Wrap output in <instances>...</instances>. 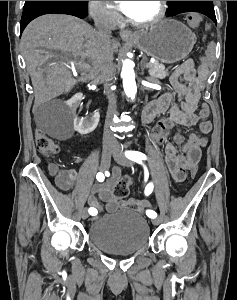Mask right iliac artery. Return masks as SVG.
Listing matches in <instances>:
<instances>
[{
    "instance_id": "1",
    "label": "right iliac artery",
    "mask_w": 237,
    "mask_h": 300,
    "mask_svg": "<svg viewBox=\"0 0 237 300\" xmlns=\"http://www.w3.org/2000/svg\"><path fill=\"white\" fill-rule=\"evenodd\" d=\"M96 179L99 181V182H103L105 177H104V174L102 172H99L97 173L96 175ZM88 212L90 214H93V215H96L97 214V210L93 207L89 208Z\"/></svg>"
}]
</instances>
